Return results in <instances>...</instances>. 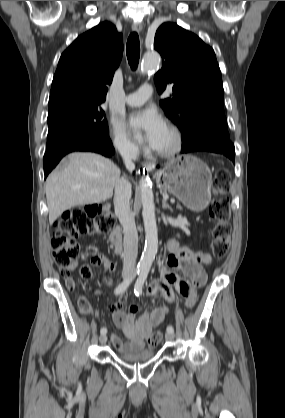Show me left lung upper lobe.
<instances>
[{"instance_id": "1", "label": "left lung upper lobe", "mask_w": 285, "mask_h": 418, "mask_svg": "<svg viewBox=\"0 0 285 418\" xmlns=\"http://www.w3.org/2000/svg\"><path fill=\"white\" fill-rule=\"evenodd\" d=\"M154 48L164 61L154 82L161 94L172 87L160 105L181 130L182 146L201 139H230L224 113V90L214 50L175 23L162 24Z\"/></svg>"}]
</instances>
